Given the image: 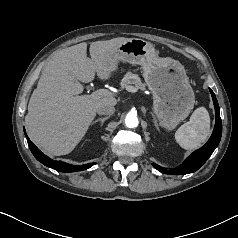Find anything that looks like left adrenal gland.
<instances>
[{
  "label": "left adrenal gland",
  "mask_w": 238,
  "mask_h": 238,
  "mask_svg": "<svg viewBox=\"0 0 238 238\" xmlns=\"http://www.w3.org/2000/svg\"><path fill=\"white\" fill-rule=\"evenodd\" d=\"M152 117H153V122H154V125L156 127L157 130H159V127H158V124H157V120L155 118V116L152 114Z\"/></svg>",
  "instance_id": "obj_1"
}]
</instances>
